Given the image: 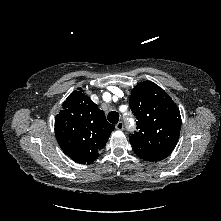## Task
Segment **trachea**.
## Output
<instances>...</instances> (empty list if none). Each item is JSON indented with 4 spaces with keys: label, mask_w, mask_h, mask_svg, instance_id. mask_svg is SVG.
Here are the masks:
<instances>
[{
    "label": "trachea",
    "mask_w": 221,
    "mask_h": 221,
    "mask_svg": "<svg viewBox=\"0 0 221 221\" xmlns=\"http://www.w3.org/2000/svg\"><path fill=\"white\" fill-rule=\"evenodd\" d=\"M108 121L112 124H117L119 121V114L116 111H111L108 114Z\"/></svg>",
    "instance_id": "1"
}]
</instances>
